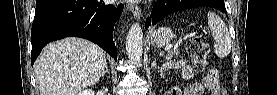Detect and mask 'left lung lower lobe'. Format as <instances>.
<instances>
[{
	"instance_id": "left-lung-lower-lobe-1",
	"label": "left lung lower lobe",
	"mask_w": 277,
	"mask_h": 95,
	"mask_svg": "<svg viewBox=\"0 0 277 95\" xmlns=\"http://www.w3.org/2000/svg\"><path fill=\"white\" fill-rule=\"evenodd\" d=\"M197 3H202L204 0H193ZM182 0H158L151 10L149 17L146 19L145 26L148 28L150 25H155L161 21L165 16L174 13L178 10L188 9L184 5H180ZM202 7H212L227 14L224 5L204 4Z\"/></svg>"
}]
</instances>
